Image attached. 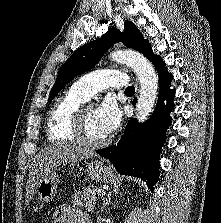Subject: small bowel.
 Masks as SVG:
<instances>
[{
	"label": "small bowel",
	"instance_id": "c3829d8e",
	"mask_svg": "<svg viewBox=\"0 0 221 223\" xmlns=\"http://www.w3.org/2000/svg\"><path fill=\"white\" fill-rule=\"evenodd\" d=\"M52 223H91L87 214L79 209L61 205L54 213Z\"/></svg>",
	"mask_w": 221,
	"mask_h": 223
}]
</instances>
